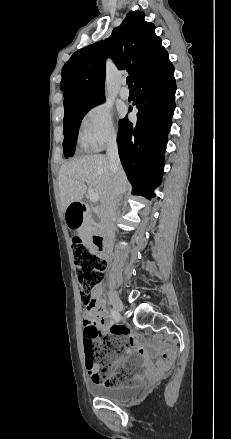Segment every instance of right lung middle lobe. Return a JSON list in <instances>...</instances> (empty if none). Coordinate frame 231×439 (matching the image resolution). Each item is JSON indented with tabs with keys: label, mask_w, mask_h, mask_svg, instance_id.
I'll list each match as a JSON object with an SVG mask.
<instances>
[{
	"label": "right lung middle lobe",
	"mask_w": 231,
	"mask_h": 439,
	"mask_svg": "<svg viewBox=\"0 0 231 439\" xmlns=\"http://www.w3.org/2000/svg\"><path fill=\"white\" fill-rule=\"evenodd\" d=\"M104 102L102 100L82 103L65 110L63 122V151L66 158L73 156L80 123L84 115L93 107Z\"/></svg>",
	"instance_id": "1"
}]
</instances>
